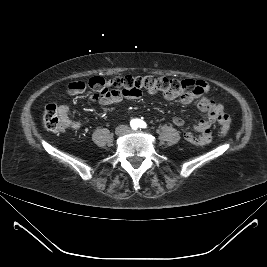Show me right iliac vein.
Listing matches in <instances>:
<instances>
[{"label":"right iliac vein","mask_w":267,"mask_h":267,"mask_svg":"<svg viewBox=\"0 0 267 267\" xmlns=\"http://www.w3.org/2000/svg\"><path fill=\"white\" fill-rule=\"evenodd\" d=\"M127 130H128L127 127L119 126L116 128L115 133H116V135L120 136V135H123L124 133H126Z\"/></svg>","instance_id":"obj_1"}]
</instances>
